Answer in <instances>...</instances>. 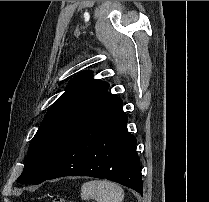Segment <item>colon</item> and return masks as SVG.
I'll return each instance as SVG.
<instances>
[{"label": "colon", "mask_w": 209, "mask_h": 202, "mask_svg": "<svg viewBox=\"0 0 209 202\" xmlns=\"http://www.w3.org/2000/svg\"><path fill=\"white\" fill-rule=\"evenodd\" d=\"M52 202H73V201L68 200L66 198H62V197H56L52 200Z\"/></svg>", "instance_id": "5ec220e1"}]
</instances>
